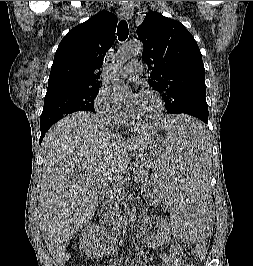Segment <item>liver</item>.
Masks as SVG:
<instances>
[{
    "label": "liver",
    "mask_w": 253,
    "mask_h": 266,
    "mask_svg": "<svg viewBox=\"0 0 253 266\" xmlns=\"http://www.w3.org/2000/svg\"><path fill=\"white\" fill-rule=\"evenodd\" d=\"M148 139L126 141L87 112L64 117L48 131L42 141L38 216L46 246L57 263L63 262L70 239L94 215L98 195L89 189L91 181L120 182L129 165L128 152Z\"/></svg>",
    "instance_id": "1"
}]
</instances>
